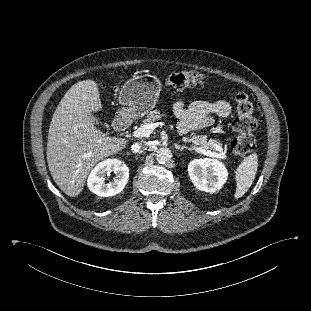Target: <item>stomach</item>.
<instances>
[{
	"instance_id": "0dacf381",
	"label": "stomach",
	"mask_w": 311,
	"mask_h": 311,
	"mask_svg": "<svg viewBox=\"0 0 311 311\" xmlns=\"http://www.w3.org/2000/svg\"><path fill=\"white\" fill-rule=\"evenodd\" d=\"M160 91L161 82L153 75L129 79L119 93V103L123 107L118 114L129 118L144 116L155 107Z\"/></svg>"
}]
</instances>
